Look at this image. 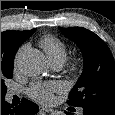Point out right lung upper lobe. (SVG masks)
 Wrapping results in <instances>:
<instances>
[{"instance_id": "right-lung-upper-lobe-1", "label": "right lung upper lobe", "mask_w": 115, "mask_h": 115, "mask_svg": "<svg viewBox=\"0 0 115 115\" xmlns=\"http://www.w3.org/2000/svg\"><path fill=\"white\" fill-rule=\"evenodd\" d=\"M35 30L34 28L27 31H4L1 33V65H13L18 48Z\"/></svg>"}]
</instances>
